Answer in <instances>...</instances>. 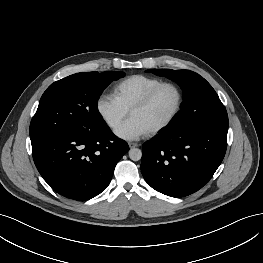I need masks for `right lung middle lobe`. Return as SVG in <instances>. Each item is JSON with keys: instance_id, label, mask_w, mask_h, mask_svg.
<instances>
[{"instance_id": "dd1d6c3e", "label": "right lung middle lobe", "mask_w": 263, "mask_h": 263, "mask_svg": "<svg viewBox=\"0 0 263 263\" xmlns=\"http://www.w3.org/2000/svg\"><path fill=\"white\" fill-rule=\"evenodd\" d=\"M123 76L121 71L76 73L51 84L31 120L32 146L62 133L104 125L98 99L112 81Z\"/></svg>"}]
</instances>
